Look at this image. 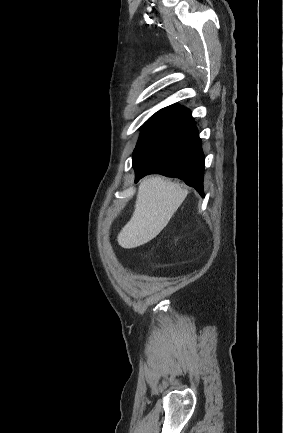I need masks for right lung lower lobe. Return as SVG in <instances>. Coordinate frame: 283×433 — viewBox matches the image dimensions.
Here are the masks:
<instances>
[{
    "mask_svg": "<svg viewBox=\"0 0 283 433\" xmlns=\"http://www.w3.org/2000/svg\"><path fill=\"white\" fill-rule=\"evenodd\" d=\"M189 110L176 106L149 123L133 153L135 182L149 174L182 179L202 196L204 154Z\"/></svg>",
    "mask_w": 283,
    "mask_h": 433,
    "instance_id": "1",
    "label": "right lung lower lobe"
}]
</instances>
